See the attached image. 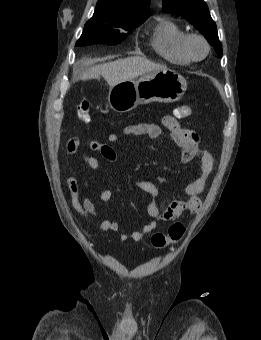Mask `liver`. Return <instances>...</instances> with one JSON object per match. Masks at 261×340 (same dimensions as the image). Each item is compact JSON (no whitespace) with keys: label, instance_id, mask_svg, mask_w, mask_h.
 I'll list each match as a JSON object with an SVG mask.
<instances>
[{"label":"liver","instance_id":"obj_1","mask_svg":"<svg viewBox=\"0 0 261 340\" xmlns=\"http://www.w3.org/2000/svg\"><path fill=\"white\" fill-rule=\"evenodd\" d=\"M164 69H167L164 65L154 63L145 57L134 56L92 66L82 74L81 79H98L102 76L108 85L112 87L146 73L158 72Z\"/></svg>","mask_w":261,"mask_h":340}]
</instances>
